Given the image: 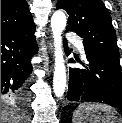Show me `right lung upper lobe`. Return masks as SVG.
Here are the masks:
<instances>
[{
  "instance_id": "right-lung-upper-lobe-1",
  "label": "right lung upper lobe",
  "mask_w": 122,
  "mask_h": 123,
  "mask_svg": "<svg viewBox=\"0 0 122 123\" xmlns=\"http://www.w3.org/2000/svg\"><path fill=\"white\" fill-rule=\"evenodd\" d=\"M35 30L32 15L25 0H1V32Z\"/></svg>"
}]
</instances>
